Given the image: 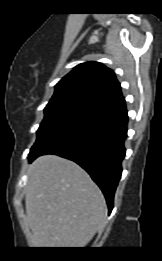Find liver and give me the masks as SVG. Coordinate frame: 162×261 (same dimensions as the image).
<instances>
[{"mask_svg": "<svg viewBox=\"0 0 162 261\" xmlns=\"http://www.w3.org/2000/svg\"><path fill=\"white\" fill-rule=\"evenodd\" d=\"M26 216L33 246L85 247L105 223V199L89 175L74 162L45 155L28 170Z\"/></svg>", "mask_w": 162, "mask_h": 261, "instance_id": "6515ba94", "label": "liver"}]
</instances>
